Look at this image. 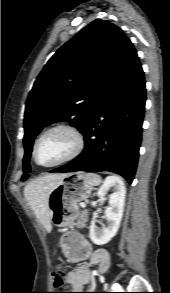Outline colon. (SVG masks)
I'll list each match as a JSON object with an SVG mask.
<instances>
[{"instance_id": "1", "label": "colon", "mask_w": 170, "mask_h": 293, "mask_svg": "<svg viewBox=\"0 0 170 293\" xmlns=\"http://www.w3.org/2000/svg\"><path fill=\"white\" fill-rule=\"evenodd\" d=\"M65 275L66 271L63 267H57L53 272V285L56 289L62 292H55V293H67L63 291H67L68 287L65 283Z\"/></svg>"}]
</instances>
